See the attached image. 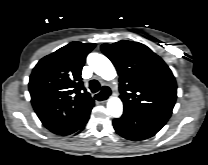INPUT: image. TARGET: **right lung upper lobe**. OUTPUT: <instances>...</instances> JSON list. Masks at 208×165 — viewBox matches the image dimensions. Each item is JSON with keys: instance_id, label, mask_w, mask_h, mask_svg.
Wrapping results in <instances>:
<instances>
[{"instance_id": "1", "label": "right lung upper lobe", "mask_w": 208, "mask_h": 165, "mask_svg": "<svg viewBox=\"0 0 208 165\" xmlns=\"http://www.w3.org/2000/svg\"><path fill=\"white\" fill-rule=\"evenodd\" d=\"M95 44L71 42L42 58L29 80L33 108L42 124L57 135H71L89 117L94 100L86 92L81 71Z\"/></svg>"}]
</instances>
